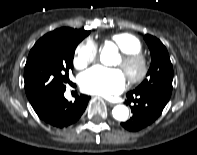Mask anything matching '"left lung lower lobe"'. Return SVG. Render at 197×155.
Listing matches in <instances>:
<instances>
[{
  "mask_svg": "<svg viewBox=\"0 0 197 155\" xmlns=\"http://www.w3.org/2000/svg\"><path fill=\"white\" fill-rule=\"evenodd\" d=\"M128 102H134L131 106L133 116L130 120L121 123L129 131H138L154 122L162 113L168 101L162 98L144 93H127ZM136 97V99H134Z\"/></svg>",
  "mask_w": 197,
  "mask_h": 155,
  "instance_id": "0a47b994",
  "label": "left lung lower lobe"
}]
</instances>
